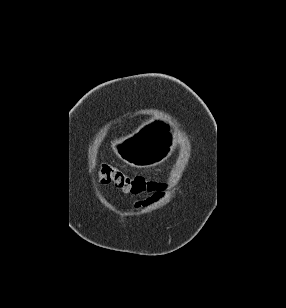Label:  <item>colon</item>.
Returning <instances> with one entry per match:
<instances>
[{
	"instance_id": "colon-1",
	"label": "colon",
	"mask_w": 286,
	"mask_h": 308,
	"mask_svg": "<svg viewBox=\"0 0 286 308\" xmlns=\"http://www.w3.org/2000/svg\"><path fill=\"white\" fill-rule=\"evenodd\" d=\"M99 182L106 185H113L123 193L133 196L145 194H156L162 191L164 184L158 181L147 180L140 176H129L121 169L104 164L98 171Z\"/></svg>"
}]
</instances>
